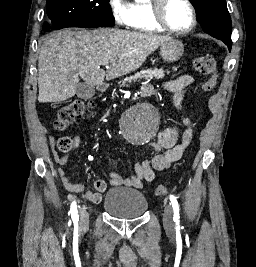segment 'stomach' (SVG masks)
<instances>
[{
  "label": "stomach",
  "instance_id": "1",
  "mask_svg": "<svg viewBox=\"0 0 256 267\" xmlns=\"http://www.w3.org/2000/svg\"><path fill=\"white\" fill-rule=\"evenodd\" d=\"M184 52V46L180 40L170 38L160 46V56L164 62H177Z\"/></svg>",
  "mask_w": 256,
  "mask_h": 267
}]
</instances>
